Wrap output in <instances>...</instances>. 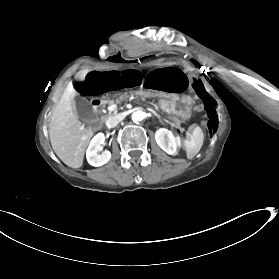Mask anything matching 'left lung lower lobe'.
<instances>
[{
  "label": "left lung lower lobe",
  "mask_w": 279,
  "mask_h": 279,
  "mask_svg": "<svg viewBox=\"0 0 279 279\" xmlns=\"http://www.w3.org/2000/svg\"><path fill=\"white\" fill-rule=\"evenodd\" d=\"M193 87L197 91L200 97H202L205 101V109L207 110L209 121L207 123L210 134H212V129L216 123V114H215V102L211 99L207 98L206 95L203 93L201 86L198 81L193 84ZM215 129V128H214Z\"/></svg>",
  "instance_id": "1"
}]
</instances>
